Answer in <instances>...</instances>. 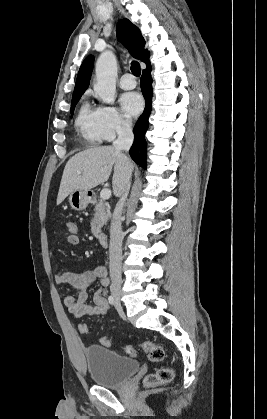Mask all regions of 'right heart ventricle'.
I'll return each instance as SVG.
<instances>
[{
    "label": "right heart ventricle",
    "instance_id": "e07e8e85",
    "mask_svg": "<svg viewBox=\"0 0 267 419\" xmlns=\"http://www.w3.org/2000/svg\"><path fill=\"white\" fill-rule=\"evenodd\" d=\"M75 126L79 134L92 145L104 140L100 130L98 108L93 107L88 101H84L80 106Z\"/></svg>",
    "mask_w": 267,
    "mask_h": 419
}]
</instances>
